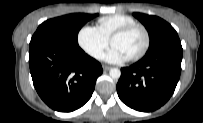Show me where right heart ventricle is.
I'll return each instance as SVG.
<instances>
[{
	"instance_id": "obj_1",
	"label": "right heart ventricle",
	"mask_w": 203,
	"mask_h": 123,
	"mask_svg": "<svg viewBox=\"0 0 203 123\" xmlns=\"http://www.w3.org/2000/svg\"><path fill=\"white\" fill-rule=\"evenodd\" d=\"M136 20L125 14L104 16L98 20L99 31L109 40L114 32L122 27L135 24Z\"/></svg>"
}]
</instances>
